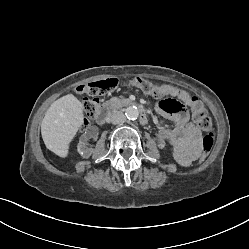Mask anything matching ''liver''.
<instances>
[{
    "label": "liver",
    "mask_w": 249,
    "mask_h": 249,
    "mask_svg": "<svg viewBox=\"0 0 249 249\" xmlns=\"http://www.w3.org/2000/svg\"><path fill=\"white\" fill-rule=\"evenodd\" d=\"M83 118V105L73 94L53 102L41 124V135L46 148L57 156L66 158L69 145L82 126Z\"/></svg>",
    "instance_id": "1"
}]
</instances>
